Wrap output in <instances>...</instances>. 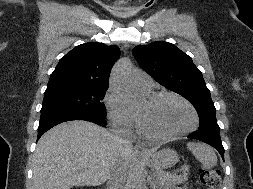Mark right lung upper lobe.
<instances>
[{"instance_id":"1","label":"right lung upper lobe","mask_w":253,"mask_h":189,"mask_svg":"<svg viewBox=\"0 0 253 189\" xmlns=\"http://www.w3.org/2000/svg\"><path fill=\"white\" fill-rule=\"evenodd\" d=\"M120 56L117 46L89 42L62 57L51 74L47 89L61 86L108 87L110 70Z\"/></svg>"}]
</instances>
